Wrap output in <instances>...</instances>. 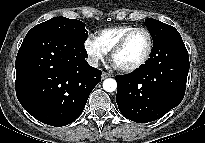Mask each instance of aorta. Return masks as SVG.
<instances>
[{
	"label": "aorta",
	"mask_w": 205,
	"mask_h": 143,
	"mask_svg": "<svg viewBox=\"0 0 205 143\" xmlns=\"http://www.w3.org/2000/svg\"><path fill=\"white\" fill-rule=\"evenodd\" d=\"M103 89L106 92H113L117 89V82L115 79L107 78L103 81Z\"/></svg>",
	"instance_id": "obj_1"
}]
</instances>
